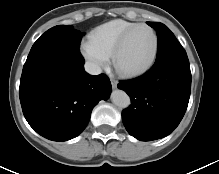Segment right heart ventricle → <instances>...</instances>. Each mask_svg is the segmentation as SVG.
Wrapping results in <instances>:
<instances>
[{
  "mask_svg": "<svg viewBox=\"0 0 219 174\" xmlns=\"http://www.w3.org/2000/svg\"><path fill=\"white\" fill-rule=\"evenodd\" d=\"M138 24L140 23L114 19L94 28L89 34V40L110 57L121 37Z\"/></svg>",
  "mask_w": 219,
  "mask_h": 174,
  "instance_id": "right-heart-ventricle-1",
  "label": "right heart ventricle"
}]
</instances>
